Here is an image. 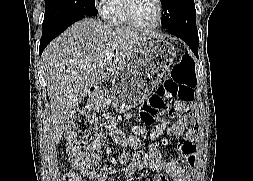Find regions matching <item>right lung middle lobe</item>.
Masks as SVG:
<instances>
[{"label": "right lung middle lobe", "mask_w": 253, "mask_h": 181, "mask_svg": "<svg viewBox=\"0 0 253 181\" xmlns=\"http://www.w3.org/2000/svg\"><path fill=\"white\" fill-rule=\"evenodd\" d=\"M43 29L82 15H97L94 0H45Z\"/></svg>", "instance_id": "obj_1"}]
</instances>
